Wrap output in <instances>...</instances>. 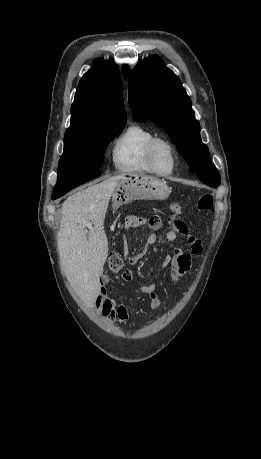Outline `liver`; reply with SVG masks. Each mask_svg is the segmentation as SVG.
<instances>
[{
    "mask_svg": "<svg viewBox=\"0 0 261 459\" xmlns=\"http://www.w3.org/2000/svg\"><path fill=\"white\" fill-rule=\"evenodd\" d=\"M126 175L109 177L69 196L62 205L57 234L61 265L69 283L88 305L100 292V276L108 256L104 219L115 188ZM86 223L92 228L89 231Z\"/></svg>",
    "mask_w": 261,
    "mask_h": 459,
    "instance_id": "6515ba94",
    "label": "liver"
}]
</instances>
